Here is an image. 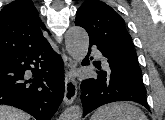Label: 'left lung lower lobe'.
<instances>
[{"mask_svg": "<svg viewBox=\"0 0 165 120\" xmlns=\"http://www.w3.org/2000/svg\"><path fill=\"white\" fill-rule=\"evenodd\" d=\"M92 45L97 46L104 60L102 63L94 64L97 68L96 75L81 82L83 116L104 104L115 101H134L150 110L142 77L122 66L111 52L92 41L88 55ZM82 64L88 65L89 59L86 58Z\"/></svg>", "mask_w": 165, "mask_h": 120, "instance_id": "1", "label": "left lung lower lobe"}]
</instances>
